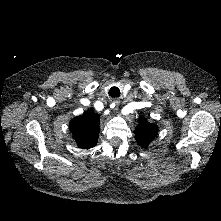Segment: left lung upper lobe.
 Returning a JSON list of instances; mask_svg holds the SVG:
<instances>
[{"mask_svg": "<svg viewBox=\"0 0 221 221\" xmlns=\"http://www.w3.org/2000/svg\"><path fill=\"white\" fill-rule=\"evenodd\" d=\"M139 122L134 131L135 139L142 148H147L157 135L158 127L155 124L148 123L143 117L139 119Z\"/></svg>", "mask_w": 221, "mask_h": 221, "instance_id": "1", "label": "left lung upper lobe"}]
</instances>
